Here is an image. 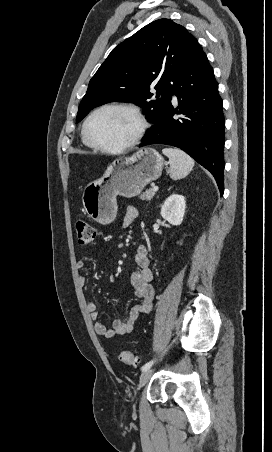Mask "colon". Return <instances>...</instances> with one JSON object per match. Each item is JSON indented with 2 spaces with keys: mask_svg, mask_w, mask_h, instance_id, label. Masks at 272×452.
Instances as JSON below:
<instances>
[{
  "mask_svg": "<svg viewBox=\"0 0 272 452\" xmlns=\"http://www.w3.org/2000/svg\"><path fill=\"white\" fill-rule=\"evenodd\" d=\"M75 229L77 234V242L81 246H87L95 240V229L93 226L84 219H79L75 223ZM118 359L127 365H133L138 362L137 357L130 351H123L119 354Z\"/></svg>",
  "mask_w": 272,
  "mask_h": 452,
  "instance_id": "obj_1",
  "label": "colon"
}]
</instances>
